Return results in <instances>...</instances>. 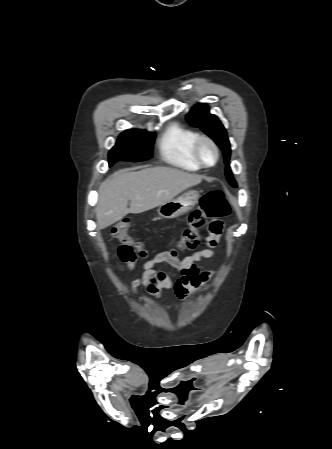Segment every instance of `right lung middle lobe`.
<instances>
[{
  "label": "right lung middle lobe",
  "instance_id": "obj_1",
  "mask_svg": "<svg viewBox=\"0 0 332 449\" xmlns=\"http://www.w3.org/2000/svg\"><path fill=\"white\" fill-rule=\"evenodd\" d=\"M154 133L130 129L123 132L109 152V166L117 161L139 162L152 156Z\"/></svg>",
  "mask_w": 332,
  "mask_h": 449
}]
</instances>
